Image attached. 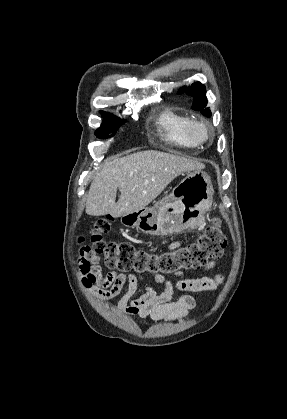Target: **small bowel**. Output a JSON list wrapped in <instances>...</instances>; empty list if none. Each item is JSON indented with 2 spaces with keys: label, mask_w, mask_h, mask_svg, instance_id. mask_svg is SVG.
<instances>
[{
  "label": "small bowel",
  "mask_w": 287,
  "mask_h": 419,
  "mask_svg": "<svg viewBox=\"0 0 287 419\" xmlns=\"http://www.w3.org/2000/svg\"><path fill=\"white\" fill-rule=\"evenodd\" d=\"M175 242L169 246L173 250L179 247ZM77 265L83 274L82 282L89 291L100 299H111L118 295L125 284L127 290L116 308L126 314L135 315L144 320L151 318L155 321H173L185 318L189 311L195 307V299L190 295L181 296L177 301H172L175 290L199 292L214 289L221 281L222 276L189 278L183 277L172 283L162 275L154 277L155 282L164 285V290L158 293L150 284L145 283V292L140 297L133 299L138 290L142 277L130 274H117L109 272L102 275L100 260L88 248H81L77 258ZM214 262L207 268L213 267Z\"/></svg>",
  "instance_id": "small-bowel-1"
}]
</instances>
